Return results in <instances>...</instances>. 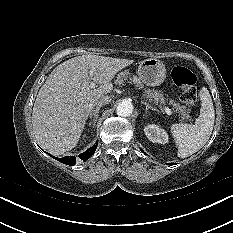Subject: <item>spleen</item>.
Returning <instances> with one entry per match:
<instances>
[{"mask_svg":"<svg viewBox=\"0 0 233 233\" xmlns=\"http://www.w3.org/2000/svg\"><path fill=\"white\" fill-rule=\"evenodd\" d=\"M200 115L195 124H172L170 131L178 148V157L186 158L200 150L209 140L215 120V111L207 88L199 93Z\"/></svg>","mask_w":233,"mask_h":233,"instance_id":"3e777b00","label":"spleen"}]
</instances>
